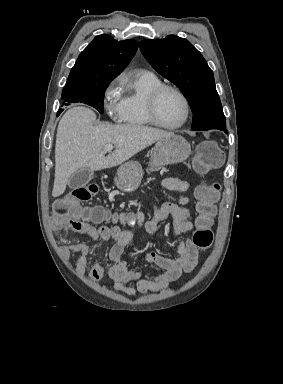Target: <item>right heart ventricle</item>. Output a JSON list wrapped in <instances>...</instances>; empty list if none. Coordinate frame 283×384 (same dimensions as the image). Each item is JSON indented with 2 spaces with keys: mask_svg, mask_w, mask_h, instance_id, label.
Returning <instances> with one entry per match:
<instances>
[{
  "mask_svg": "<svg viewBox=\"0 0 283 384\" xmlns=\"http://www.w3.org/2000/svg\"><path fill=\"white\" fill-rule=\"evenodd\" d=\"M162 82L153 74L147 72L136 73L126 83V92L122 97V122L133 128H148V121L144 106L148 95Z\"/></svg>",
  "mask_w": 283,
  "mask_h": 384,
  "instance_id": "right-heart-ventricle-1",
  "label": "right heart ventricle"
}]
</instances>
